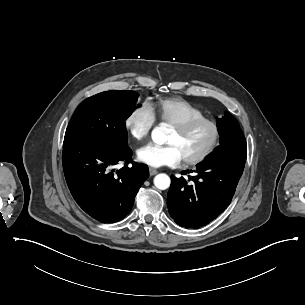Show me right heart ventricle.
Wrapping results in <instances>:
<instances>
[{
  "mask_svg": "<svg viewBox=\"0 0 305 305\" xmlns=\"http://www.w3.org/2000/svg\"><path fill=\"white\" fill-rule=\"evenodd\" d=\"M149 108L155 119L170 125L205 116L199 108L184 99L176 97L155 99L149 103Z\"/></svg>",
  "mask_w": 305,
  "mask_h": 305,
  "instance_id": "obj_1",
  "label": "right heart ventricle"
}]
</instances>
